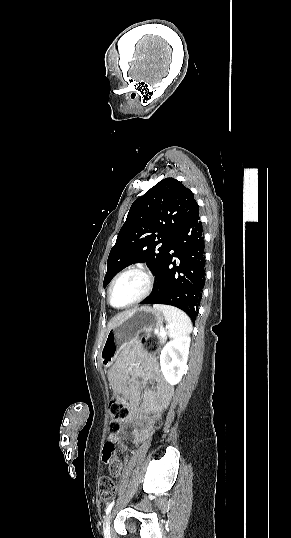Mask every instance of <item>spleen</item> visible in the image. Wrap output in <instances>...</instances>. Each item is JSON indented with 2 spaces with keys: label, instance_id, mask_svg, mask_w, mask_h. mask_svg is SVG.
Masks as SVG:
<instances>
[{
  "label": "spleen",
  "instance_id": "spleen-1",
  "mask_svg": "<svg viewBox=\"0 0 291 538\" xmlns=\"http://www.w3.org/2000/svg\"><path fill=\"white\" fill-rule=\"evenodd\" d=\"M153 308L164 314L167 320L169 337L178 338L192 332L191 320L182 310L163 304H154Z\"/></svg>",
  "mask_w": 291,
  "mask_h": 538
}]
</instances>
